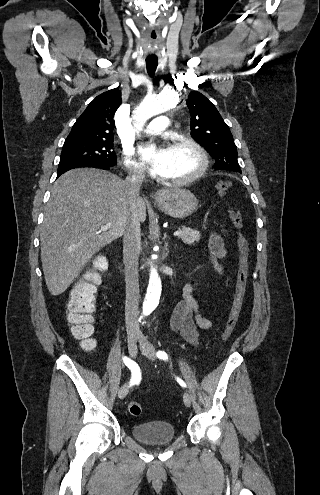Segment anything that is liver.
<instances>
[{
	"mask_svg": "<svg viewBox=\"0 0 320 495\" xmlns=\"http://www.w3.org/2000/svg\"><path fill=\"white\" fill-rule=\"evenodd\" d=\"M130 208L140 222L146 220V201L138 197L130 203L124 182L109 172L77 168L57 179L40 231L42 268L52 295L65 292L96 252L124 234Z\"/></svg>",
	"mask_w": 320,
	"mask_h": 495,
	"instance_id": "6515ba94",
	"label": "liver"
}]
</instances>
